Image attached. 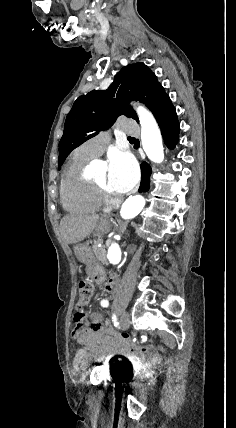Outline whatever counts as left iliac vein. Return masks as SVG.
<instances>
[{
	"instance_id": "obj_1",
	"label": "left iliac vein",
	"mask_w": 236,
	"mask_h": 428,
	"mask_svg": "<svg viewBox=\"0 0 236 428\" xmlns=\"http://www.w3.org/2000/svg\"><path fill=\"white\" fill-rule=\"evenodd\" d=\"M120 326H122L121 330H126L131 326V319L128 316V314H125V316H122L120 319Z\"/></svg>"
}]
</instances>
